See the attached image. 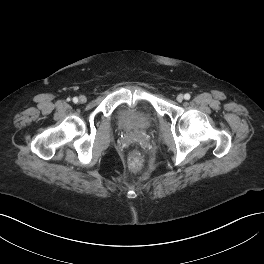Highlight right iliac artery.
<instances>
[{
  "mask_svg": "<svg viewBox=\"0 0 264 264\" xmlns=\"http://www.w3.org/2000/svg\"><path fill=\"white\" fill-rule=\"evenodd\" d=\"M73 102H74V103H77V102H78V98H77V97H74V98H73Z\"/></svg>",
  "mask_w": 264,
  "mask_h": 264,
  "instance_id": "obj_1",
  "label": "right iliac artery"
}]
</instances>
